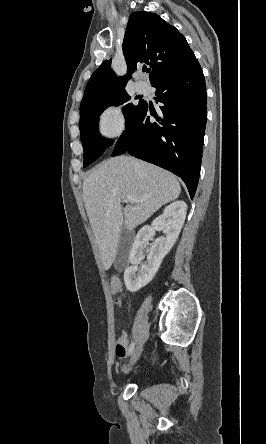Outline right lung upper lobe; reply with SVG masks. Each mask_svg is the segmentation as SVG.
<instances>
[{"label": "right lung upper lobe", "mask_w": 266, "mask_h": 444, "mask_svg": "<svg viewBox=\"0 0 266 444\" xmlns=\"http://www.w3.org/2000/svg\"><path fill=\"white\" fill-rule=\"evenodd\" d=\"M123 53L128 65L125 77L117 78L111 59L95 70L86 85L81 104L110 92L124 89L139 64H149V80L158 79L189 67L196 61L185 37L155 13L131 14L123 41Z\"/></svg>", "instance_id": "1"}]
</instances>
